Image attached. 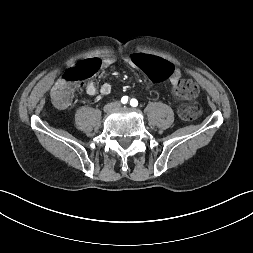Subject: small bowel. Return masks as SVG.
Returning <instances> with one entry per match:
<instances>
[{"label": "small bowel", "mask_w": 253, "mask_h": 253, "mask_svg": "<svg viewBox=\"0 0 253 253\" xmlns=\"http://www.w3.org/2000/svg\"><path fill=\"white\" fill-rule=\"evenodd\" d=\"M133 55L134 54L125 57L124 61L131 67L138 68L137 65L133 62ZM96 59L100 61L101 66L106 67V68L112 66L116 62V58L112 54H108L103 58H96ZM181 76H182L181 70L172 66L171 73L166 77L168 78L169 82L172 85L176 86L177 83L180 81ZM111 90H112V87L109 83L102 84L99 89L96 83L93 81L88 82L85 86V91L89 96H94L98 92L101 95H108L110 94Z\"/></svg>", "instance_id": "1"}]
</instances>
